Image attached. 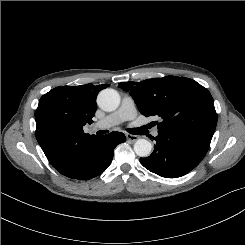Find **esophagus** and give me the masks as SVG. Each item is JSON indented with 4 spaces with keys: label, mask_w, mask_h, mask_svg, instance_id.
<instances>
[{
    "label": "esophagus",
    "mask_w": 245,
    "mask_h": 245,
    "mask_svg": "<svg viewBox=\"0 0 245 245\" xmlns=\"http://www.w3.org/2000/svg\"><path fill=\"white\" fill-rule=\"evenodd\" d=\"M126 138L130 142H135L138 139L137 135H132V134H126Z\"/></svg>",
    "instance_id": "1"
}]
</instances>
